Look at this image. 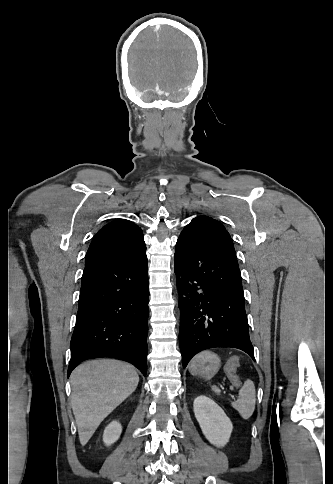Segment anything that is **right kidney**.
<instances>
[{"label": "right kidney", "instance_id": "ca27d5eb", "mask_svg": "<svg viewBox=\"0 0 333 484\" xmlns=\"http://www.w3.org/2000/svg\"><path fill=\"white\" fill-rule=\"evenodd\" d=\"M122 432V426L117 421H112L104 430L103 441L109 446L116 442Z\"/></svg>", "mask_w": 333, "mask_h": 484}]
</instances>
